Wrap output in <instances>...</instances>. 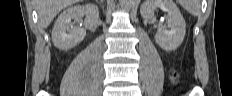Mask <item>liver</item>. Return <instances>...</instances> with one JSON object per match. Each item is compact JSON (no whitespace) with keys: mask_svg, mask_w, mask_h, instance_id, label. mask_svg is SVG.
<instances>
[{"mask_svg":"<svg viewBox=\"0 0 232 96\" xmlns=\"http://www.w3.org/2000/svg\"><path fill=\"white\" fill-rule=\"evenodd\" d=\"M78 1L79 0H36V9L41 26L47 28L61 10Z\"/></svg>","mask_w":232,"mask_h":96,"instance_id":"obj_1","label":"liver"}]
</instances>
